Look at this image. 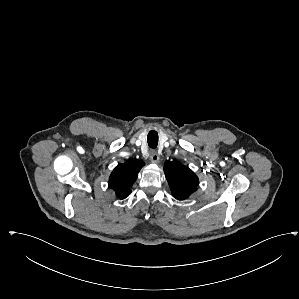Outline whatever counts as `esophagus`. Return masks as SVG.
Wrapping results in <instances>:
<instances>
[{"label": "esophagus", "instance_id": "34e87169", "mask_svg": "<svg viewBox=\"0 0 299 299\" xmlns=\"http://www.w3.org/2000/svg\"><path fill=\"white\" fill-rule=\"evenodd\" d=\"M159 159H160V157H159L157 151L151 150V152H150V160L153 163H157V162H159Z\"/></svg>", "mask_w": 299, "mask_h": 299}]
</instances>
